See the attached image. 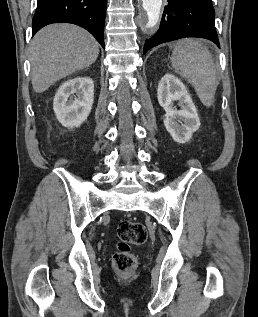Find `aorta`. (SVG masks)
Returning <instances> with one entry per match:
<instances>
[{"label": "aorta", "instance_id": "obj_1", "mask_svg": "<svg viewBox=\"0 0 258 317\" xmlns=\"http://www.w3.org/2000/svg\"><path fill=\"white\" fill-rule=\"evenodd\" d=\"M161 6L162 0H142V7L148 18L147 28H152L158 23Z\"/></svg>", "mask_w": 258, "mask_h": 317}]
</instances>
